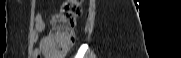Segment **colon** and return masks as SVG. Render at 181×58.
Wrapping results in <instances>:
<instances>
[{"mask_svg":"<svg viewBox=\"0 0 181 58\" xmlns=\"http://www.w3.org/2000/svg\"><path fill=\"white\" fill-rule=\"evenodd\" d=\"M81 0H67L52 18L53 30L47 38V49L66 54L76 42L75 27L81 14ZM40 58V55L37 56Z\"/></svg>","mask_w":181,"mask_h":58,"instance_id":"colon-1","label":"colon"}]
</instances>
